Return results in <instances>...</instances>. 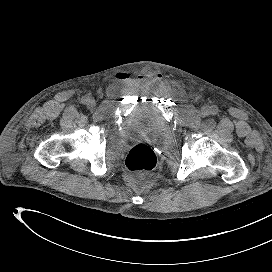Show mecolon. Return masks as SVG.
Listing matches in <instances>:
<instances>
[{"instance_id":"5ec220e1","label":"colon","mask_w":272,"mask_h":272,"mask_svg":"<svg viewBox=\"0 0 272 272\" xmlns=\"http://www.w3.org/2000/svg\"><path fill=\"white\" fill-rule=\"evenodd\" d=\"M157 163V157L153 149L146 144H137L127 154L125 165L130 171H149Z\"/></svg>"}]
</instances>
